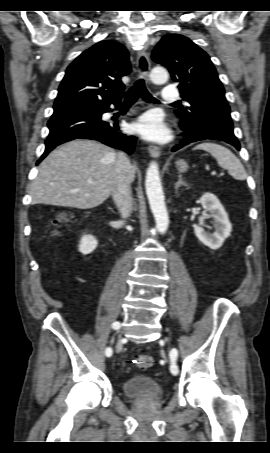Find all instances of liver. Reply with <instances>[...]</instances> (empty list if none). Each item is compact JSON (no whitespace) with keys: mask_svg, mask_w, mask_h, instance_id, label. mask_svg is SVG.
<instances>
[{"mask_svg":"<svg viewBox=\"0 0 270 453\" xmlns=\"http://www.w3.org/2000/svg\"><path fill=\"white\" fill-rule=\"evenodd\" d=\"M116 153L91 140H74L53 150L31 185L32 204L90 209L112 194ZM135 168L130 170V181ZM92 180V183H88Z\"/></svg>","mask_w":270,"mask_h":453,"instance_id":"1","label":"liver"}]
</instances>
